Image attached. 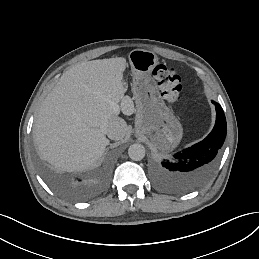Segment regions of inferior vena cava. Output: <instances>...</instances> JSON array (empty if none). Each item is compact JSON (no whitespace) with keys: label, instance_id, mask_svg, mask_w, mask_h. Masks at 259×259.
Wrapping results in <instances>:
<instances>
[{"label":"inferior vena cava","instance_id":"obj_1","mask_svg":"<svg viewBox=\"0 0 259 259\" xmlns=\"http://www.w3.org/2000/svg\"><path fill=\"white\" fill-rule=\"evenodd\" d=\"M100 130L107 134L111 140H120L127 135V125L120 118L109 121L105 126H100Z\"/></svg>","mask_w":259,"mask_h":259}]
</instances>
